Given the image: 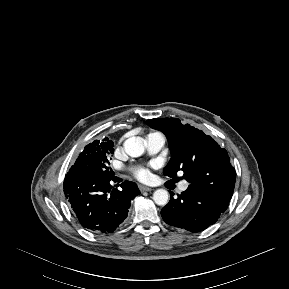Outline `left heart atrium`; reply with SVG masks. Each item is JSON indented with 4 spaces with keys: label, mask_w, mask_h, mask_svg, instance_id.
<instances>
[{
    "label": "left heart atrium",
    "mask_w": 289,
    "mask_h": 289,
    "mask_svg": "<svg viewBox=\"0 0 289 289\" xmlns=\"http://www.w3.org/2000/svg\"><path fill=\"white\" fill-rule=\"evenodd\" d=\"M135 176L141 181H146L150 176L149 169L146 167H140L135 170Z\"/></svg>",
    "instance_id": "left-heart-atrium-1"
}]
</instances>
